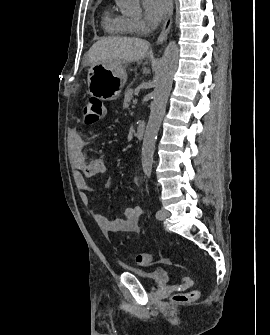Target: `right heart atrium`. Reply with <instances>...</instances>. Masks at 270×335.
<instances>
[{
    "label": "right heart atrium",
    "instance_id": "right-heart-atrium-1",
    "mask_svg": "<svg viewBox=\"0 0 270 335\" xmlns=\"http://www.w3.org/2000/svg\"><path fill=\"white\" fill-rule=\"evenodd\" d=\"M133 33L143 35L146 32V24L142 20H132Z\"/></svg>",
    "mask_w": 270,
    "mask_h": 335
}]
</instances>
